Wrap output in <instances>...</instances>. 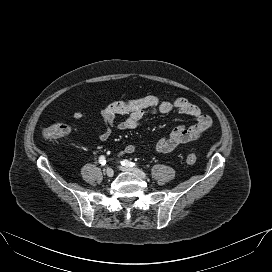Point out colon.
Returning <instances> with one entry per match:
<instances>
[{"instance_id":"colon-1","label":"colon","mask_w":272,"mask_h":272,"mask_svg":"<svg viewBox=\"0 0 272 272\" xmlns=\"http://www.w3.org/2000/svg\"><path fill=\"white\" fill-rule=\"evenodd\" d=\"M70 133V127L66 123L54 122L46 125L42 130V137L45 141H54L62 139L68 136ZM197 161V155L189 153L186 156V162L188 164H194Z\"/></svg>"}]
</instances>
